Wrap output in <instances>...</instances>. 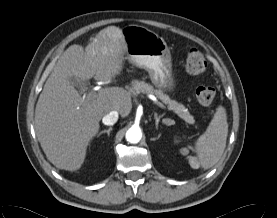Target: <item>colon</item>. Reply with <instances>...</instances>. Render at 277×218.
I'll return each mask as SVG.
<instances>
[{
	"mask_svg": "<svg viewBox=\"0 0 277 218\" xmlns=\"http://www.w3.org/2000/svg\"><path fill=\"white\" fill-rule=\"evenodd\" d=\"M185 67L187 72L193 76L204 73L207 68L204 54L198 49H191L187 53ZM195 96L201 106L210 108L215 101L216 91L210 85H199L196 87Z\"/></svg>",
	"mask_w": 277,
	"mask_h": 218,
	"instance_id": "obj_1",
	"label": "colon"
}]
</instances>
